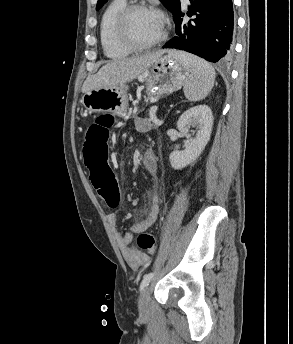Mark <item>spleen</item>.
<instances>
[{
  "mask_svg": "<svg viewBox=\"0 0 293 344\" xmlns=\"http://www.w3.org/2000/svg\"><path fill=\"white\" fill-rule=\"evenodd\" d=\"M190 72L184 83V93L189 101H199L204 99L214 86L216 77L215 70L205 60L189 53L171 51Z\"/></svg>",
  "mask_w": 293,
  "mask_h": 344,
  "instance_id": "3e777b00",
  "label": "spleen"
}]
</instances>
